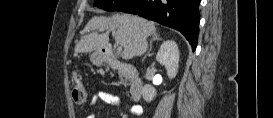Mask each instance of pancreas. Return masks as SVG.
I'll return each mask as SVG.
<instances>
[{"label":"pancreas","instance_id":"obj_1","mask_svg":"<svg viewBox=\"0 0 273 118\" xmlns=\"http://www.w3.org/2000/svg\"><path fill=\"white\" fill-rule=\"evenodd\" d=\"M121 78V83H123L124 85H126V81L123 80L122 76L120 77Z\"/></svg>","mask_w":273,"mask_h":118}]
</instances>
